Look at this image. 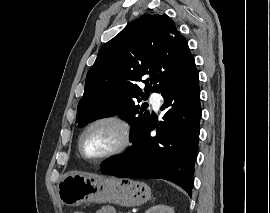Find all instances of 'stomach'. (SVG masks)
Listing matches in <instances>:
<instances>
[{
  "label": "stomach",
  "instance_id": "0dacf381",
  "mask_svg": "<svg viewBox=\"0 0 270 213\" xmlns=\"http://www.w3.org/2000/svg\"><path fill=\"white\" fill-rule=\"evenodd\" d=\"M58 197L70 207L86 202L113 203L121 206L141 205L151 198V189L140 181L126 178L69 172L58 182Z\"/></svg>",
  "mask_w": 270,
  "mask_h": 213
}]
</instances>
